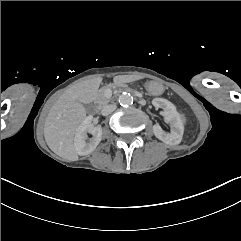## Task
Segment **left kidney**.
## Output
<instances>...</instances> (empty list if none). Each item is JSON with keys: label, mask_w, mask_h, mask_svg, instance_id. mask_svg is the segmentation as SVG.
<instances>
[{"label": "left kidney", "mask_w": 241, "mask_h": 241, "mask_svg": "<svg viewBox=\"0 0 241 241\" xmlns=\"http://www.w3.org/2000/svg\"><path fill=\"white\" fill-rule=\"evenodd\" d=\"M152 104L156 108H162L164 119L170 124L171 132L166 133L159 124L153 126L154 135L169 145H178L183 137L184 126L180 114L170 101L163 98H154Z\"/></svg>", "instance_id": "5707ae66"}]
</instances>
